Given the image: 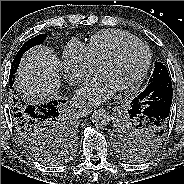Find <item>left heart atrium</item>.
<instances>
[{
    "label": "left heart atrium",
    "instance_id": "1",
    "mask_svg": "<svg viewBox=\"0 0 184 184\" xmlns=\"http://www.w3.org/2000/svg\"><path fill=\"white\" fill-rule=\"evenodd\" d=\"M117 90L111 80L104 74L87 80L77 91L76 98L80 102L88 104H99L109 99Z\"/></svg>",
    "mask_w": 184,
    "mask_h": 184
}]
</instances>
